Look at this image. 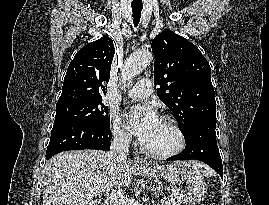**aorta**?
Masks as SVG:
<instances>
[{
  "mask_svg": "<svg viewBox=\"0 0 269 205\" xmlns=\"http://www.w3.org/2000/svg\"><path fill=\"white\" fill-rule=\"evenodd\" d=\"M153 59V55L149 51H138L129 56L125 62L123 68V75L125 78L130 79L139 73L148 66ZM131 205H136L134 201H130Z\"/></svg>",
  "mask_w": 269,
  "mask_h": 205,
  "instance_id": "obj_1",
  "label": "aorta"
}]
</instances>
